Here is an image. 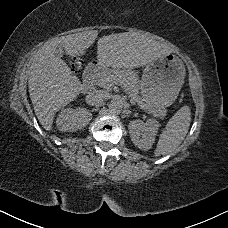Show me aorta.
<instances>
[{
  "instance_id": "obj_1",
  "label": "aorta",
  "mask_w": 228,
  "mask_h": 228,
  "mask_svg": "<svg viewBox=\"0 0 228 228\" xmlns=\"http://www.w3.org/2000/svg\"><path fill=\"white\" fill-rule=\"evenodd\" d=\"M122 110V104L119 101H111L109 104V111L112 114H118Z\"/></svg>"
}]
</instances>
